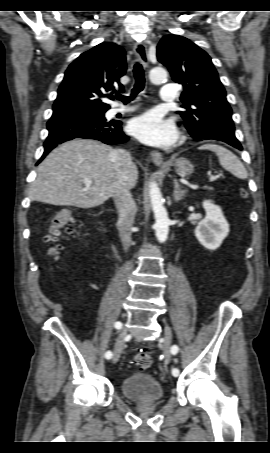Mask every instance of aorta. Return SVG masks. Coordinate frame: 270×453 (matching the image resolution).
<instances>
[{
  "label": "aorta",
  "mask_w": 270,
  "mask_h": 453,
  "mask_svg": "<svg viewBox=\"0 0 270 453\" xmlns=\"http://www.w3.org/2000/svg\"><path fill=\"white\" fill-rule=\"evenodd\" d=\"M151 82L161 83L167 78V71L162 67H155L149 73ZM149 194L152 204V210L155 217V231L159 242H165L169 232V218L166 208L163 205L160 189L155 182L149 186Z\"/></svg>",
  "instance_id": "aorta-1"
}]
</instances>
